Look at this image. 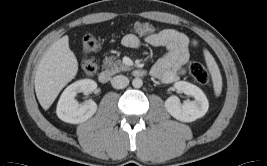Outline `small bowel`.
<instances>
[{"mask_svg":"<svg viewBox=\"0 0 267 166\" xmlns=\"http://www.w3.org/2000/svg\"><path fill=\"white\" fill-rule=\"evenodd\" d=\"M141 40L151 46L164 47L165 56L159 59L152 67L151 73L163 83H173L185 73V64L190 58V46H197L195 41L182 32L174 29H163L150 35H137L129 33L122 39V44L127 48L136 49Z\"/></svg>","mask_w":267,"mask_h":166,"instance_id":"small-bowel-1","label":"small bowel"}]
</instances>
